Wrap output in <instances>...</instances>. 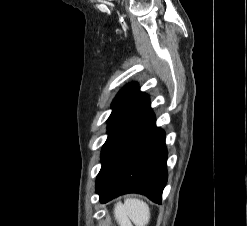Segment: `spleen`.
<instances>
[{
  "label": "spleen",
  "instance_id": "obj_1",
  "mask_svg": "<svg viewBox=\"0 0 247 226\" xmlns=\"http://www.w3.org/2000/svg\"><path fill=\"white\" fill-rule=\"evenodd\" d=\"M115 219L120 226H146L150 219L149 206L135 198L126 199L124 204L121 202L115 205Z\"/></svg>",
  "mask_w": 247,
  "mask_h": 226
}]
</instances>
